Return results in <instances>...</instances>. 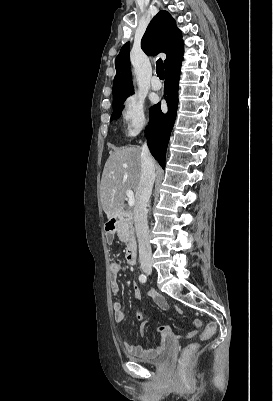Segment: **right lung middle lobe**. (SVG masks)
<instances>
[{"mask_svg": "<svg viewBox=\"0 0 273 401\" xmlns=\"http://www.w3.org/2000/svg\"><path fill=\"white\" fill-rule=\"evenodd\" d=\"M122 105H123V103L120 104L119 106L113 108V113L111 115V120L117 119V118L120 117L121 112H122Z\"/></svg>", "mask_w": 273, "mask_h": 401, "instance_id": "right-lung-middle-lobe-1", "label": "right lung middle lobe"}]
</instances>
